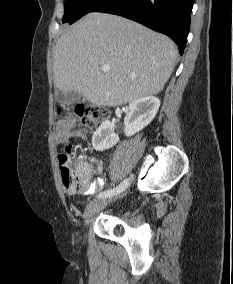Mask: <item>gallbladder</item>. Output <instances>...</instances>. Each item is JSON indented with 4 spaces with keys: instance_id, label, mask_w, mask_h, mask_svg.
Masks as SVG:
<instances>
[{
    "instance_id": "gallbladder-1",
    "label": "gallbladder",
    "mask_w": 233,
    "mask_h": 284,
    "mask_svg": "<svg viewBox=\"0 0 233 284\" xmlns=\"http://www.w3.org/2000/svg\"><path fill=\"white\" fill-rule=\"evenodd\" d=\"M82 95L78 91H69V92H62L58 91L57 93V100L60 103L71 105L78 101H80Z\"/></svg>"
}]
</instances>
